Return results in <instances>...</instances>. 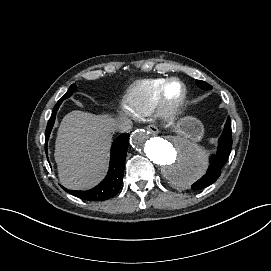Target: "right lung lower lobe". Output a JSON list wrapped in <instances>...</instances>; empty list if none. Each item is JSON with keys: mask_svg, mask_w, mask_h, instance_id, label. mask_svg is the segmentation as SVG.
Returning <instances> with one entry per match:
<instances>
[{"mask_svg": "<svg viewBox=\"0 0 271 271\" xmlns=\"http://www.w3.org/2000/svg\"><path fill=\"white\" fill-rule=\"evenodd\" d=\"M60 104L57 103L55 105L52 115L47 124L46 132H45L46 155H47V141H48L51 129L54 125L55 116ZM128 145H129V134L127 133L121 134L113 142L112 147H111V159H110L109 172L106 178L95 188L88 191H74V190L72 191V190H67L64 187L62 188L68 193L87 201H104V200L114 197L119 192L122 185Z\"/></svg>", "mask_w": 271, "mask_h": 271, "instance_id": "right-lung-lower-lobe-1", "label": "right lung lower lobe"}]
</instances>
